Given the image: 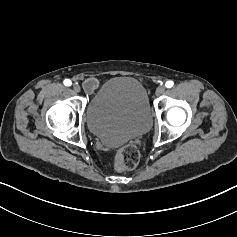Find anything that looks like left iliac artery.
<instances>
[{
	"label": "left iliac artery",
	"instance_id": "44dca946",
	"mask_svg": "<svg viewBox=\"0 0 237 237\" xmlns=\"http://www.w3.org/2000/svg\"><path fill=\"white\" fill-rule=\"evenodd\" d=\"M173 85H174V82H173V81H167V82L165 83V86H166L167 88H171Z\"/></svg>",
	"mask_w": 237,
	"mask_h": 237
}]
</instances>
